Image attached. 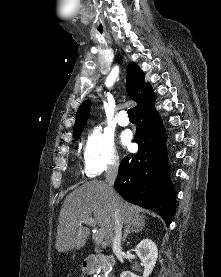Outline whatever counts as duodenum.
I'll return each instance as SVG.
<instances>
[{"label":"duodenum","mask_w":221,"mask_h":277,"mask_svg":"<svg viewBox=\"0 0 221 277\" xmlns=\"http://www.w3.org/2000/svg\"><path fill=\"white\" fill-rule=\"evenodd\" d=\"M115 265V260L111 256L103 254H91L87 256L83 261V270L87 274H91L95 269L112 268Z\"/></svg>","instance_id":"410a0bca"}]
</instances>
